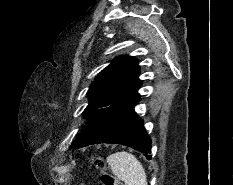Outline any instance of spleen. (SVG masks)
<instances>
[{
  "label": "spleen",
  "instance_id": "spleen-1",
  "mask_svg": "<svg viewBox=\"0 0 233 185\" xmlns=\"http://www.w3.org/2000/svg\"><path fill=\"white\" fill-rule=\"evenodd\" d=\"M113 174L125 185H147V177L142 164L128 152H116L107 157Z\"/></svg>",
  "mask_w": 233,
  "mask_h": 185
}]
</instances>
